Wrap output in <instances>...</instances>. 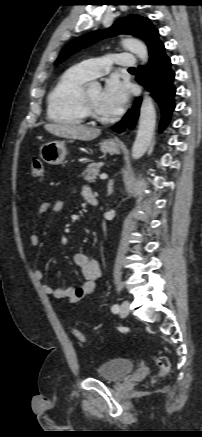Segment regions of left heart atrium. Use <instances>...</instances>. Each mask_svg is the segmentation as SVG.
I'll return each instance as SVG.
<instances>
[{"mask_svg":"<svg viewBox=\"0 0 202 437\" xmlns=\"http://www.w3.org/2000/svg\"><path fill=\"white\" fill-rule=\"evenodd\" d=\"M129 94L130 90L127 83L117 78L109 79L102 91V110L107 115L120 114L128 102Z\"/></svg>","mask_w":202,"mask_h":437,"instance_id":"1","label":"left heart atrium"}]
</instances>
